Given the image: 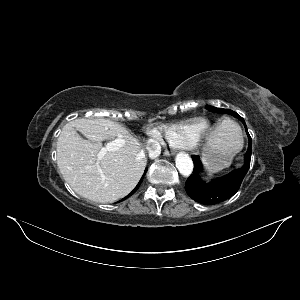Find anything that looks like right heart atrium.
I'll return each instance as SVG.
<instances>
[{"mask_svg": "<svg viewBox=\"0 0 300 300\" xmlns=\"http://www.w3.org/2000/svg\"><path fill=\"white\" fill-rule=\"evenodd\" d=\"M153 135H154L155 137H158V136H159L158 133H156V132H153Z\"/></svg>", "mask_w": 300, "mask_h": 300, "instance_id": "right-heart-atrium-1", "label": "right heart atrium"}]
</instances>
